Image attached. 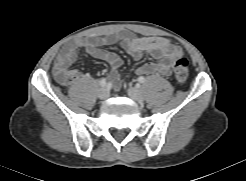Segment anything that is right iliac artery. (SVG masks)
Returning <instances> with one entry per match:
<instances>
[{"label": "right iliac artery", "mask_w": 246, "mask_h": 181, "mask_svg": "<svg viewBox=\"0 0 246 181\" xmlns=\"http://www.w3.org/2000/svg\"><path fill=\"white\" fill-rule=\"evenodd\" d=\"M106 85H107V79L106 78H102L100 80V86L105 87Z\"/></svg>", "instance_id": "right-iliac-artery-1"}]
</instances>
